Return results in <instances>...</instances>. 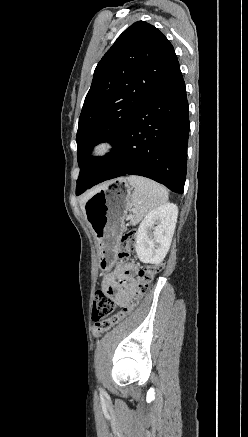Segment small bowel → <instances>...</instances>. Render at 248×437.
I'll return each instance as SVG.
<instances>
[{"label": "small bowel", "instance_id": "obj_1", "mask_svg": "<svg viewBox=\"0 0 248 437\" xmlns=\"http://www.w3.org/2000/svg\"><path fill=\"white\" fill-rule=\"evenodd\" d=\"M138 267L134 263H123L106 275L102 281V289L112 297L118 305L127 306L137 288L135 275Z\"/></svg>", "mask_w": 248, "mask_h": 437}]
</instances>
